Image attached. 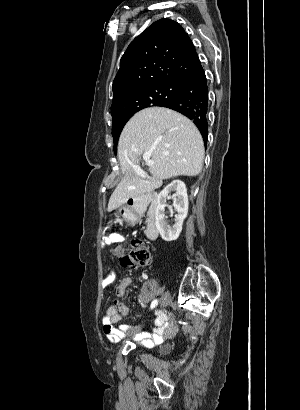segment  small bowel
Here are the masks:
<instances>
[{
    "label": "small bowel",
    "mask_w": 300,
    "mask_h": 410,
    "mask_svg": "<svg viewBox=\"0 0 300 410\" xmlns=\"http://www.w3.org/2000/svg\"><path fill=\"white\" fill-rule=\"evenodd\" d=\"M120 237L112 235L110 242L118 241ZM116 273L113 269H109L103 277V284L109 285L114 281ZM130 277L122 279L116 288V297L112 304L106 309L105 315L102 318L103 331L107 338L112 343H117L125 338L129 333H133L134 329L126 324L115 327L121 318L128 313V307L123 301L126 288L131 284ZM176 332V327L171 322V317L165 311H159L156 319V327L153 334L142 333L140 338L144 345L152 346L154 343L161 341L163 338H169Z\"/></svg>",
    "instance_id": "c3829d8e"
}]
</instances>
